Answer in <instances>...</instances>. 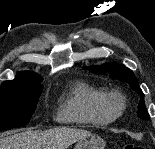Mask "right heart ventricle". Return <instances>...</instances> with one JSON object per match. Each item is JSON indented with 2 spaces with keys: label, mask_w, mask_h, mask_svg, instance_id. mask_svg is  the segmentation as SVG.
Returning <instances> with one entry per match:
<instances>
[{
  "label": "right heart ventricle",
  "mask_w": 155,
  "mask_h": 149,
  "mask_svg": "<svg viewBox=\"0 0 155 149\" xmlns=\"http://www.w3.org/2000/svg\"><path fill=\"white\" fill-rule=\"evenodd\" d=\"M103 92L84 82H75L61 100L56 120L66 124L82 126H107L114 120L99 109V99Z\"/></svg>",
  "instance_id": "e07e8e85"
}]
</instances>
